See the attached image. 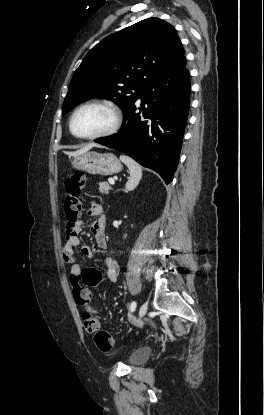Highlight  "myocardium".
<instances>
[{"label": "myocardium", "mask_w": 264, "mask_h": 415, "mask_svg": "<svg viewBox=\"0 0 264 415\" xmlns=\"http://www.w3.org/2000/svg\"><path fill=\"white\" fill-rule=\"evenodd\" d=\"M89 106H99V107H103L109 110L112 114L113 122H112V125L107 130L102 131L100 133L89 135V136L80 135L74 129V120L79 111ZM121 125H122V114H121L120 109L112 102L102 101V100L89 101V102H86L80 105L71 115L70 122H69V128L72 134L80 139H85V140H95V139H100V138L111 136L120 129Z\"/></svg>", "instance_id": "f54148a6"}]
</instances>
